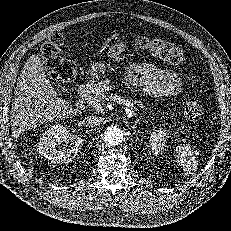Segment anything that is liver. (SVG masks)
I'll return each instance as SVG.
<instances>
[{
    "label": "liver",
    "mask_w": 231,
    "mask_h": 231,
    "mask_svg": "<svg viewBox=\"0 0 231 231\" xmlns=\"http://www.w3.org/2000/svg\"><path fill=\"white\" fill-rule=\"evenodd\" d=\"M81 114L65 99L58 97L47 79L38 55H31L25 62L15 89L11 109L12 137L35 129L45 122L72 118Z\"/></svg>",
    "instance_id": "liver-1"
}]
</instances>
